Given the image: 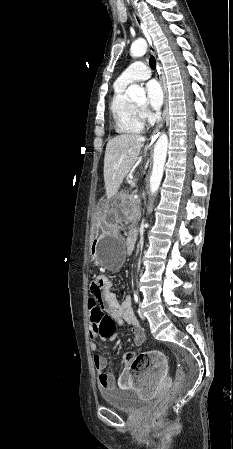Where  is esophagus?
I'll return each mask as SVG.
<instances>
[{"label": "esophagus", "mask_w": 233, "mask_h": 449, "mask_svg": "<svg viewBox=\"0 0 233 449\" xmlns=\"http://www.w3.org/2000/svg\"><path fill=\"white\" fill-rule=\"evenodd\" d=\"M134 19H135V22H136L137 26L139 27V29L143 32V34L147 38L148 45H149V52L154 55L155 54V47H154L152 38L150 37V34H149L148 30H147L146 25L144 24V22L142 21V19L139 17L138 14H134ZM157 71H158V79H159L160 84L162 85L163 93H164V110H163V113H162V117L160 118V121H159L158 125L156 126V128H155V130L153 132L152 141L156 138L160 128L162 127L164 119H165V114H166V90H165V86L163 84L162 77H161V74H160L159 63H157Z\"/></svg>", "instance_id": "1"}]
</instances>
